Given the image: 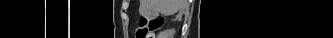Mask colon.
Here are the masks:
<instances>
[{"label":"colon","instance_id":"1","mask_svg":"<svg viewBox=\"0 0 333 38\" xmlns=\"http://www.w3.org/2000/svg\"><path fill=\"white\" fill-rule=\"evenodd\" d=\"M164 25L161 16L152 18H141L136 30V38H155V32Z\"/></svg>","mask_w":333,"mask_h":38}]
</instances>
